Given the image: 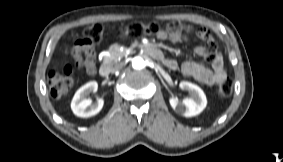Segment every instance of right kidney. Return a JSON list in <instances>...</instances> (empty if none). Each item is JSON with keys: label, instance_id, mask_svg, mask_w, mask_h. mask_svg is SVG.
Returning <instances> with one entry per match:
<instances>
[{"label": "right kidney", "instance_id": "ca27d5eb", "mask_svg": "<svg viewBox=\"0 0 283 162\" xmlns=\"http://www.w3.org/2000/svg\"><path fill=\"white\" fill-rule=\"evenodd\" d=\"M97 89L98 83L90 81L77 90L71 102V109L76 116L87 118L101 111L104 105L102 98H98L96 103H92V100L87 98L90 93L96 92Z\"/></svg>", "mask_w": 283, "mask_h": 162}]
</instances>
